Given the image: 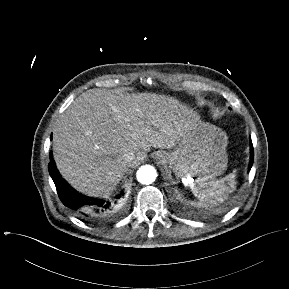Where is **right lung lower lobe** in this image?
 Listing matches in <instances>:
<instances>
[{
	"mask_svg": "<svg viewBox=\"0 0 289 289\" xmlns=\"http://www.w3.org/2000/svg\"><path fill=\"white\" fill-rule=\"evenodd\" d=\"M50 163L48 165L49 173L54 181L58 195L63 204L74 210L82 219L90 222H102L109 218L111 211V202L102 199H96L81 195L71 188L62 179L50 152ZM121 194L117 196L119 198Z\"/></svg>",
	"mask_w": 289,
	"mask_h": 289,
	"instance_id": "1",
	"label": "right lung lower lobe"
}]
</instances>
